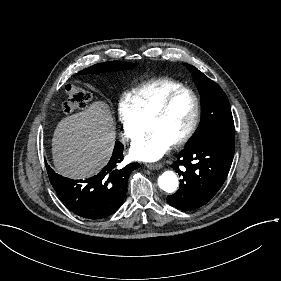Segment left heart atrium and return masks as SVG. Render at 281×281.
I'll return each instance as SVG.
<instances>
[{"label": "left heart atrium", "instance_id": "1", "mask_svg": "<svg viewBox=\"0 0 281 281\" xmlns=\"http://www.w3.org/2000/svg\"><path fill=\"white\" fill-rule=\"evenodd\" d=\"M171 145L161 133L153 132L132 147L131 156L139 161L155 162L168 152Z\"/></svg>", "mask_w": 281, "mask_h": 281}]
</instances>
